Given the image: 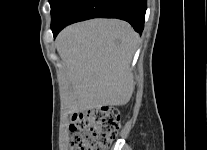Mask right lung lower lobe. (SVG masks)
I'll return each instance as SVG.
<instances>
[{
  "instance_id": "obj_1",
  "label": "right lung lower lobe",
  "mask_w": 207,
  "mask_h": 150,
  "mask_svg": "<svg viewBox=\"0 0 207 150\" xmlns=\"http://www.w3.org/2000/svg\"><path fill=\"white\" fill-rule=\"evenodd\" d=\"M147 0H69L54 20V37L65 26L91 18H118L129 22L136 32L142 33Z\"/></svg>"
}]
</instances>
